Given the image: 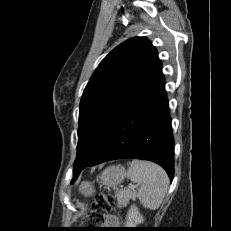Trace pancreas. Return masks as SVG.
Masks as SVG:
<instances>
[{"label":"pancreas","mask_w":231,"mask_h":231,"mask_svg":"<svg viewBox=\"0 0 231 231\" xmlns=\"http://www.w3.org/2000/svg\"><path fill=\"white\" fill-rule=\"evenodd\" d=\"M136 196L135 192L131 190H122L115 194V198L117 199L118 207L126 205L130 199H134Z\"/></svg>","instance_id":"pancreas-1"}]
</instances>
